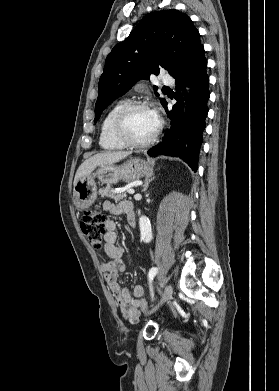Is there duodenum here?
Masks as SVG:
<instances>
[{
	"label": "duodenum",
	"instance_id": "duodenum-1",
	"mask_svg": "<svg viewBox=\"0 0 279 391\" xmlns=\"http://www.w3.org/2000/svg\"><path fill=\"white\" fill-rule=\"evenodd\" d=\"M126 213H127L129 224L133 228L137 227V221H136L132 206L126 210Z\"/></svg>",
	"mask_w": 279,
	"mask_h": 391
}]
</instances>
